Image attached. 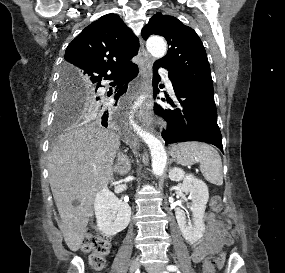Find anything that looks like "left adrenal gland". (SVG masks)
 Returning a JSON list of instances; mask_svg holds the SVG:
<instances>
[{"instance_id": "obj_1", "label": "left adrenal gland", "mask_w": 285, "mask_h": 273, "mask_svg": "<svg viewBox=\"0 0 285 273\" xmlns=\"http://www.w3.org/2000/svg\"><path fill=\"white\" fill-rule=\"evenodd\" d=\"M171 161L173 162V161H175V160L172 158Z\"/></svg>"}]
</instances>
